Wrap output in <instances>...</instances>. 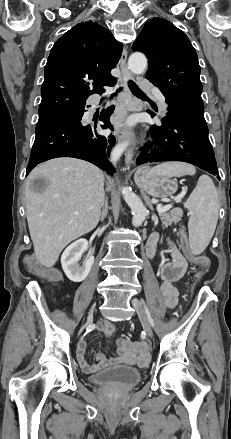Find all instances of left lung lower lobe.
<instances>
[{
    "label": "left lung lower lobe",
    "instance_id": "1",
    "mask_svg": "<svg viewBox=\"0 0 231 439\" xmlns=\"http://www.w3.org/2000/svg\"><path fill=\"white\" fill-rule=\"evenodd\" d=\"M168 110L166 117L161 119V126L154 125L150 128L154 142L142 148L136 164L161 161L188 162L220 179L206 123L170 105Z\"/></svg>",
    "mask_w": 231,
    "mask_h": 439
}]
</instances>
